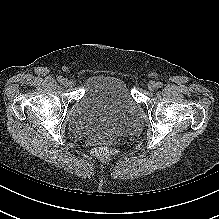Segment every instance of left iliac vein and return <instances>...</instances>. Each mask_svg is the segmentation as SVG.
<instances>
[{
    "label": "left iliac vein",
    "instance_id": "left-iliac-vein-1",
    "mask_svg": "<svg viewBox=\"0 0 219 219\" xmlns=\"http://www.w3.org/2000/svg\"><path fill=\"white\" fill-rule=\"evenodd\" d=\"M147 88L150 91H154L156 89V83L154 81H149L147 84Z\"/></svg>",
    "mask_w": 219,
    "mask_h": 219
}]
</instances>
